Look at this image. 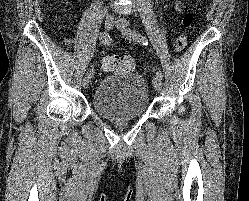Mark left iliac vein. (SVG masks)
<instances>
[{
	"instance_id": "left-iliac-vein-1",
	"label": "left iliac vein",
	"mask_w": 249,
	"mask_h": 201,
	"mask_svg": "<svg viewBox=\"0 0 249 201\" xmlns=\"http://www.w3.org/2000/svg\"><path fill=\"white\" fill-rule=\"evenodd\" d=\"M116 26L125 37L132 39L129 35V30H130L129 22L126 19L118 18L116 20ZM152 83H153V87H154L155 91L159 92L161 90V87H162L161 78L158 76H155L152 80Z\"/></svg>"
}]
</instances>
